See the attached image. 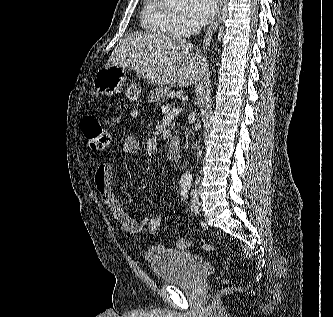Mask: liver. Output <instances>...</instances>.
<instances>
[{
	"label": "liver",
	"mask_w": 333,
	"mask_h": 317,
	"mask_svg": "<svg viewBox=\"0 0 333 317\" xmlns=\"http://www.w3.org/2000/svg\"><path fill=\"white\" fill-rule=\"evenodd\" d=\"M107 66L133 70L155 86L188 87L207 76V61L180 37L136 31L115 47Z\"/></svg>",
	"instance_id": "1"
}]
</instances>
